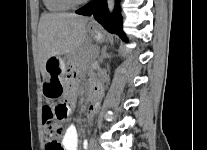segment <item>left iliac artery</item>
<instances>
[{
  "label": "left iliac artery",
  "instance_id": "1",
  "mask_svg": "<svg viewBox=\"0 0 207 150\" xmlns=\"http://www.w3.org/2000/svg\"><path fill=\"white\" fill-rule=\"evenodd\" d=\"M84 145H85V146L87 145V142H86V141L84 142Z\"/></svg>",
  "mask_w": 207,
  "mask_h": 150
}]
</instances>
